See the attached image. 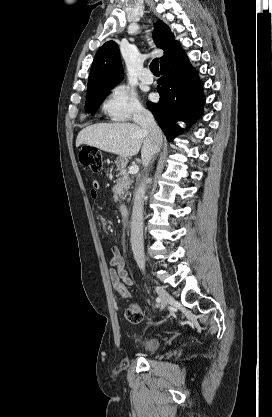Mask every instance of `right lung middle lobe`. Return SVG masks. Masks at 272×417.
Listing matches in <instances>:
<instances>
[{"instance_id": "right-lung-middle-lobe-1", "label": "right lung middle lobe", "mask_w": 272, "mask_h": 417, "mask_svg": "<svg viewBox=\"0 0 272 417\" xmlns=\"http://www.w3.org/2000/svg\"><path fill=\"white\" fill-rule=\"evenodd\" d=\"M111 88L100 89L92 93L87 94L85 110L87 113L94 115L98 107L105 99V96L108 95Z\"/></svg>"}]
</instances>
